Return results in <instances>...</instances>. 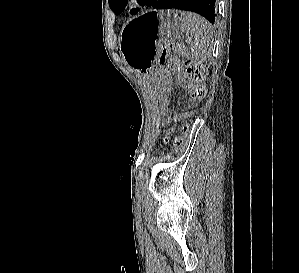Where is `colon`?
<instances>
[{"instance_id": "1", "label": "colon", "mask_w": 299, "mask_h": 273, "mask_svg": "<svg viewBox=\"0 0 299 273\" xmlns=\"http://www.w3.org/2000/svg\"><path fill=\"white\" fill-rule=\"evenodd\" d=\"M184 53V47L178 43L164 44L159 56V63L167 65L171 72L177 77L181 87L188 88L190 99L193 103L201 101L206 95L204 80L206 76L205 68L193 59L181 62L178 56ZM184 135L179 136L174 141V146L178 150L185 143V135L189 131L188 125L184 126Z\"/></svg>"}]
</instances>
